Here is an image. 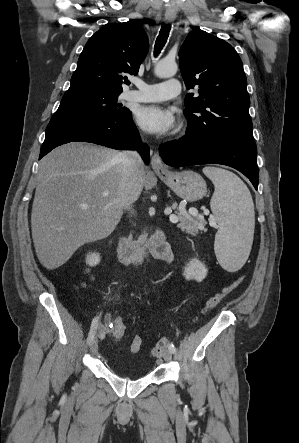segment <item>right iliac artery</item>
Returning <instances> with one entry per match:
<instances>
[{
    "label": "right iliac artery",
    "instance_id": "right-iliac-artery-1",
    "mask_svg": "<svg viewBox=\"0 0 299 443\" xmlns=\"http://www.w3.org/2000/svg\"><path fill=\"white\" fill-rule=\"evenodd\" d=\"M98 319L99 317H95L92 321L91 327H90V331L88 334V338H87V344L91 345L95 339V335H96V330H97V323H98Z\"/></svg>",
    "mask_w": 299,
    "mask_h": 443
}]
</instances>
